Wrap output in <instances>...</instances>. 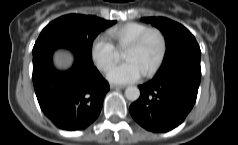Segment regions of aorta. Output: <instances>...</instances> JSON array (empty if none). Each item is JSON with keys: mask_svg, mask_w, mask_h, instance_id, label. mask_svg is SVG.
<instances>
[{"mask_svg": "<svg viewBox=\"0 0 238 145\" xmlns=\"http://www.w3.org/2000/svg\"><path fill=\"white\" fill-rule=\"evenodd\" d=\"M125 96L130 101H136L140 97V90L136 86H129L125 89Z\"/></svg>", "mask_w": 238, "mask_h": 145, "instance_id": "1", "label": "aorta"}]
</instances>
